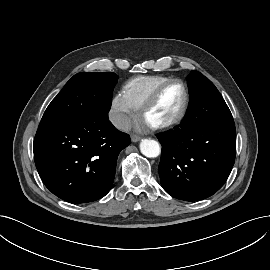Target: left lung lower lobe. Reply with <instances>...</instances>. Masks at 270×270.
<instances>
[{
  "label": "left lung lower lobe",
  "mask_w": 270,
  "mask_h": 270,
  "mask_svg": "<svg viewBox=\"0 0 270 270\" xmlns=\"http://www.w3.org/2000/svg\"><path fill=\"white\" fill-rule=\"evenodd\" d=\"M157 138L162 144L158 170L168 194L195 201L212 196L224 185L235 161L234 121L199 122L189 105L182 124Z\"/></svg>",
  "instance_id": "obj_1"
}]
</instances>
